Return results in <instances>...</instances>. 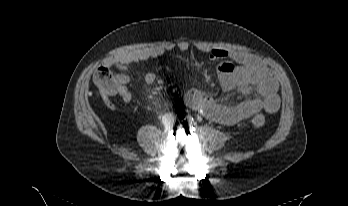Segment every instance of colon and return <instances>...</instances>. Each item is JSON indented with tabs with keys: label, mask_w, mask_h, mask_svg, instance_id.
Returning <instances> with one entry per match:
<instances>
[{
	"label": "colon",
	"mask_w": 348,
	"mask_h": 206,
	"mask_svg": "<svg viewBox=\"0 0 348 206\" xmlns=\"http://www.w3.org/2000/svg\"><path fill=\"white\" fill-rule=\"evenodd\" d=\"M94 83L101 94L114 95L120 89L122 75L114 73L109 65L101 66L95 72ZM108 105L111 109L114 108L112 104ZM251 123L255 128H260L265 125L266 117L263 114H256L252 117Z\"/></svg>",
	"instance_id": "5ec220e1"
}]
</instances>
